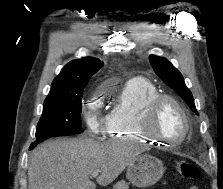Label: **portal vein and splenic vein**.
Instances as JSON below:
<instances>
[{"label":"portal vein and splenic vein","instance_id":"18ae733b","mask_svg":"<svg viewBox=\"0 0 223 189\" xmlns=\"http://www.w3.org/2000/svg\"><path fill=\"white\" fill-rule=\"evenodd\" d=\"M99 173H100L99 170H95V171H93V172L91 173V176H92L93 178H95V177L98 176Z\"/></svg>","mask_w":223,"mask_h":189}]
</instances>
